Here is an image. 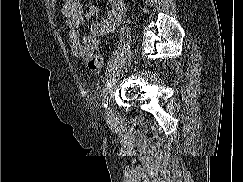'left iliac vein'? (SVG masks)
I'll return each mask as SVG.
<instances>
[{"label":"left iliac vein","mask_w":243,"mask_h":182,"mask_svg":"<svg viewBox=\"0 0 243 182\" xmlns=\"http://www.w3.org/2000/svg\"><path fill=\"white\" fill-rule=\"evenodd\" d=\"M105 114H106L107 122L109 124H113L114 120H115V112H114V110L110 106H107V108L105 110Z\"/></svg>","instance_id":"4c4485c4"}]
</instances>
